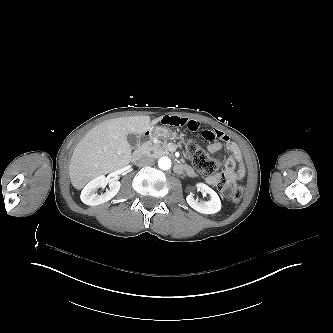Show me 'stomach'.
I'll return each instance as SVG.
<instances>
[{"label": "stomach", "instance_id": "0dacf381", "mask_svg": "<svg viewBox=\"0 0 333 333\" xmlns=\"http://www.w3.org/2000/svg\"><path fill=\"white\" fill-rule=\"evenodd\" d=\"M173 136V132L169 127L166 126H153L143 137V144L149 143L157 139H170Z\"/></svg>", "mask_w": 333, "mask_h": 333}]
</instances>
